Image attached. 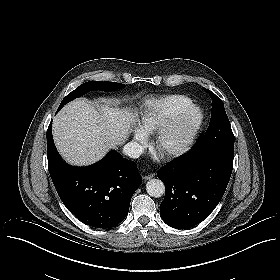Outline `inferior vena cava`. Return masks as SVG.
Segmentation results:
<instances>
[{"instance_id": "inferior-vena-cava-1", "label": "inferior vena cava", "mask_w": 280, "mask_h": 280, "mask_svg": "<svg viewBox=\"0 0 280 280\" xmlns=\"http://www.w3.org/2000/svg\"><path fill=\"white\" fill-rule=\"evenodd\" d=\"M143 151V147L137 142L127 143L123 148V153L134 159L139 158Z\"/></svg>"}]
</instances>
